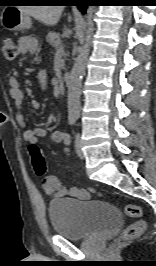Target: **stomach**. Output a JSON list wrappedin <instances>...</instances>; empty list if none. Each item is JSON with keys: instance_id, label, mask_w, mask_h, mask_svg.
Returning <instances> with one entry per match:
<instances>
[{"instance_id": "0dacf381", "label": "stomach", "mask_w": 156, "mask_h": 266, "mask_svg": "<svg viewBox=\"0 0 156 266\" xmlns=\"http://www.w3.org/2000/svg\"><path fill=\"white\" fill-rule=\"evenodd\" d=\"M2 21L4 26L12 31H24L31 27L30 18L18 8L4 11Z\"/></svg>"}]
</instances>
